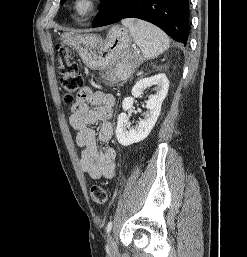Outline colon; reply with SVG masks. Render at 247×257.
Here are the masks:
<instances>
[{
    "label": "colon",
    "instance_id": "obj_1",
    "mask_svg": "<svg viewBox=\"0 0 247 257\" xmlns=\"http://www.w3.org/2000/svg\"><path fill=\"white\" fill-rule=\"evenodd\" d=\"M58 73L65 97L71 98L83 86V78L79 75L78 66L73 61V53L65 47L58 49ZM90 196L98 205L105 204L108 197L106 189L99 185L91 187Z\"/></svg>",
    "mask_w": 247,
    "mask_h": 257
}]
</instances>
